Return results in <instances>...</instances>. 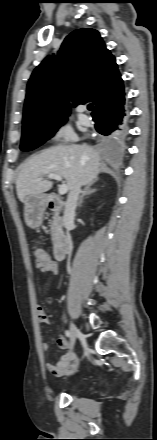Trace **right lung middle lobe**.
Listing matches in <instances>:
<instances>
[{"mask_svg":"<svg viewBox=\"0 0 157 440\" xmlns=\"http://www.w3.org/2000/svg\"><path fill=\"white\" fill-rule=\"evenodd\" d=\"M64 122L65 119H60L51 122L31 123L23 126L20 149L22 151H30L39 147L52 137ZM118 139L112 136L105 137V141L107 142L116 141Z\"/></svg>","mask_w":157,"mask_h":440,"instance_id":"dd1d6c3e","label":"right lung middle lobe"}]
</instances>
